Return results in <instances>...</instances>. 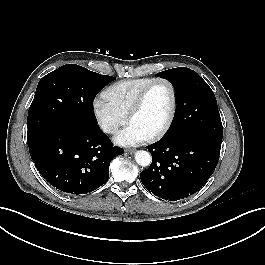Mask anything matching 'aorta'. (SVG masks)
<instances>
[{"label":"aorta","mask_w":265,"mask_h":265,"mask_svg":"<svg viewBox=\"0 0 265 265\" xmlns=\"http://www.w3.org/2000/svg\"><path fill=\"white\" fill-rule=\"evenodd\" d=\"M135 161L138 165L146 167L151 164L152 158L149 152L140 150L135 153Z\"/></svg>","instance_id":"aorta-1"}]
</instances>
